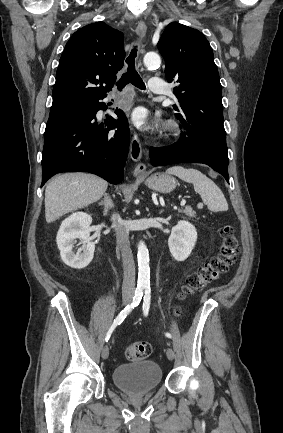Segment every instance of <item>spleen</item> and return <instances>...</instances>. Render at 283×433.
Here are the masks:
<instances>
[{"instance_id": "obj_1", "label": "spleen", "mask_w": 283, "mask_h": 433, "mask_svg": "<svg viewBox=\"0 0 283 433\" xmlns=\"http://www.w3.org/2000/svg\"><path fill=\"white\" fill-rule=\"evenodd\" d=\"M167 174H176L185 182H192L196 192H199L204 204H207L209 210L218 212V210H228V202L219 186L202 174L196 168H184V166H171L167 168Z\"/></svg>"}]
</instances>
